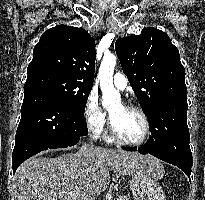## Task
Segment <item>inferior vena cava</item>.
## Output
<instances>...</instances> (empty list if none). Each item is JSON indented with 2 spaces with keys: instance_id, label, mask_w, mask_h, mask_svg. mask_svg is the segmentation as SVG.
<instances>
[{
  "instance_id": "obj_1",
  "label": "inferior vena cava",
  "mask_w": 205,
  "mask_h": 200,
  "mask_svg": "<svg viewBox=\"0 0 205 200\" xmlns=\"http://www.w3.org/2000/svg\"><path fill=\"white\" fill-rule=\"evenodd\" d=\"M90 137H91V135H89ZM94 148V146H93V143H92V139H90V143H85L82 147H81V149H80V152H86L87 150H89V149H93Z\"/></svg>"
}]
</instances>
